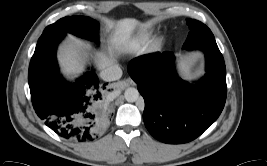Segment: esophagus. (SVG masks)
Listing matches in <instances>:
<instances>
[{
	"label": "esophagus",
	"mask_w": 267,
	"mask_h": 166,
	"mask_svg": "<svg viewBox=\"0 0 267 166\" xmlns=\"http://www.w3.org/2000/svg\"><path fill=\"white\" fill-rule=\"evenodd\" d=\"M129 85H134V82L131 79H127L119 84L121 88L128 87Z\"/></svg>",
	"instance_id": "esophagus-1"
}]
</instances>
